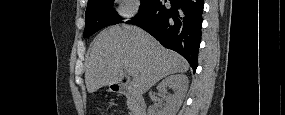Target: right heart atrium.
<instances>
[{"label": "right heart atrium", "mask_w": 285, "mask_h": 115, "mask_svg": "<svg viewBox=\"0 0 285 115\" xmlns=\"http://www.w3.org/2000/svg\"><path fill=\"white\" fill-rule=\"evenodd\" d=\"M138 7L139 4L137 1L133 0L121 1L119 6L120 16L124 19H129L136 14Z\"/></svg>", "instance_id": "obj_1"}]
</instances>
